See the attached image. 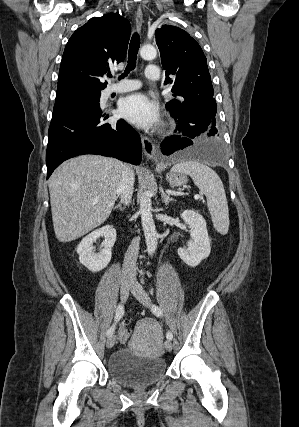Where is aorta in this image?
<instances>
[{"mask_svg":"<svg viewBox=\"0 0 299 427\" xmlns=\"http://www.w3.org/2000/svg\"><path fill=\"white\" fill-rule=\"evenodd\" d=\"M140 55L145 60H152L156 57L157 51L152 45H144L140 50ZM141 223L145 235L148 254H153L157 248L158 233L152 216L151 198L144 192L140 198Z\"/></svg>","mask_w":299,"mask_h":427,"instance_id":"obj_1","label":"aorta"}]
</instances>
